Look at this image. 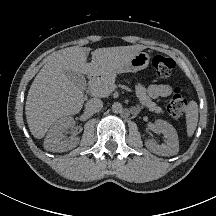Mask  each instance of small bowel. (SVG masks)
<instances>
[{"label": "small bowel", "mask_w": 216, "mask_h": 216, "mask_svg": "<svg viewBox=\"0 0 216 216\" xmlns=\"http://www.w3.org/2000/svg\"><path fill=\"white\" fill-rule=\"evenodd\" d=\"M172 88L169 84H152L148 88V95L153 98L167 97L171 94Z\"/></svg>", "instance_id": "c3829d8e"}]
</instances>
